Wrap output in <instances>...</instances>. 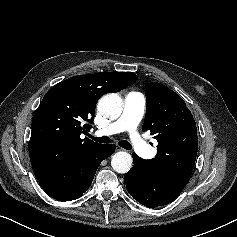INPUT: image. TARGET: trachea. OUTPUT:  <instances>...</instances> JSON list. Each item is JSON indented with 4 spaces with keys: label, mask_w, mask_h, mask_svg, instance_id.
<instances>
[{
    "label": "trachea",
    "mask_w": 237,
    "mask_h": 237,
    "mask_svg": "<svg viewBox=\"0 0 237 237\" xmlns=\"http://www.w3.org/2000/svg\"><path fill=\"white\" fill-rule=\"evenodd\" d=\"M89 137H90L92 140H94V141H96V142H99V143H110V142H111L110 138L107 137V136H104V137H93V136L89 135ZM118 144H119L122 148H124V149H126V150H131V148H132V147H131V144H130L128 141H126V140L119 141Z\"/></svg>",
    "instance_id": "1"
}]
</instances>
